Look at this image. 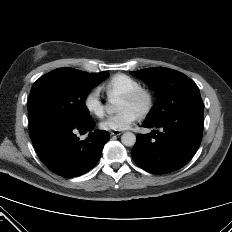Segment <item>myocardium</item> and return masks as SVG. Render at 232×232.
<instances>
[{
	"instance_id": "myocardium-1",
	"label": "myocardium",
	"mask_w": 232,
	"mask_h": 232,
	"mask_svg": "<svg viewBox=\"0 0 232 232\" xmlns=\"http://www.w3.org/2000/svg\"><path fill=\"white\" fill-rule=\"evenodd\" d=\"M122 97L130 102L139 103L138 113L140 116L147 115L153 107V103H154L153 94L151 93L150 90L143 87L138 88L129 93H126L122 95Z\"/></svg>"
}]
</instances>
